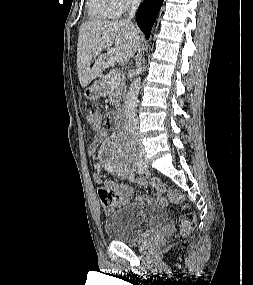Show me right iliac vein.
Instances as JSON below:
<instances>
[{
    "instance_id": "1",
    "label": "right iliac vein",
    "mask_w": 253,
    "mask_h": 285,
    "mask_svg": "<svg viewBox=\"0 0 253 285\" xmlns=\"http://www.w3.org/2000/svg\"><path fill=\"white\" fill-rule=\"evenodd\" d=\"M137 165L142 171L148 167V161L146 157L142 154V152H140L138 155Z\"/></svg>"
}]
</instances>
